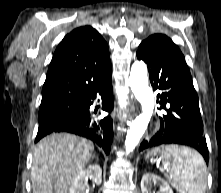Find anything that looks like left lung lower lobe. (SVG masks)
Here are the masks:
<instances>
[{
	"mask_svg": "<svg viewBox=\"0 0 221 193\" xmlns=\"http://www.w3.org/2000/svg\"><path fill=\"white\" fill-rule=\"evenodd\" d=\"M137 58L147 63L153 90L160 91L157 98L162 108L170 103V109L160 117V130L152 139L143 140L139 150L169 144L189 146L198 150L208 164L199 99L184 56L141 43Z\"/></svg>",
	"mask_w": 221,
	"mask_h": 193,
	"instance_id": "1",
	"label": "left lung lower lobe"
}]
</instances>
